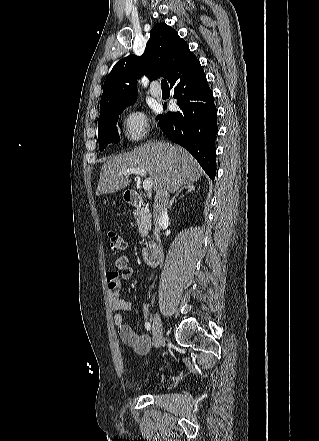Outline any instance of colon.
I'll use <instances>...</instances> for the list:
<instances>
[{"label":"colon","mask_w":319,"mask_h":441,"mask_svg":"<svg viewBox=\"0 0 319 441\" xmlns=\"http://www.w3.org/2000/svg\"><path fill=\"white\" fill-rule=\"evenodd\" d=\"M109 246L112 251H122L125 249L124 238L115 230H109L108 233Z\"/></svg>","instance_id":"1"}]
</instances>
